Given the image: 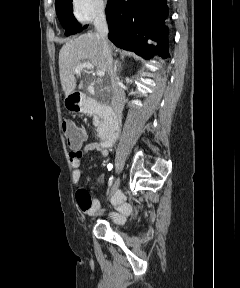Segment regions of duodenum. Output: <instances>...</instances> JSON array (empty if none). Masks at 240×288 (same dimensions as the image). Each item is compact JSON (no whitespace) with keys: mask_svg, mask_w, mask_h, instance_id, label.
I'll return each mask as SVG.
<instances>
[{"mask_svg":"<svg viewBox=\"0 0 240 288\" xmlns=\"http://www.w3.org/2000/svg\"><path fill=\"white\" fill-rule=\"evenodd\" d=\"M73 100L77 105V111L86 114H95L98 117L100 121L101 143L106 147L113 145L119 131L118 121L114 112L108 108H100L94 99L83 95H75Z\"/></svg>","mask_w":240,"mask_h":288,"instance_id":"410a0bca","label":"duodenum"}]
</instances>
